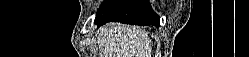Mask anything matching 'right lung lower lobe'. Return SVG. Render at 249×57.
Wrapping results in <instances>:
<instances>
[{"label":"right lung lower lobe","mask_w":249,"mask_h":57,"mask_svg":"<svg viewBox=\"0 0 249 57\" xmlns=\"http://www.w3.org/2000/svg\"><path fill=\"white\" fill-rule=\"evenodd\" d=\"M121 22L139 26H159L148 0H106L99 8L94 21L98 26L107 22Z\"/></svg>","instance_id":"98d812e1"}]
</instances>
